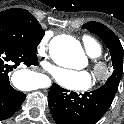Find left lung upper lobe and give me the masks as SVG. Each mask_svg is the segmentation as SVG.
<instances>
[{"label": "left lung upper lobe", "mask_w": 124, "mask_h": 124, "mask_svg": "<svg viewBox=\"0 0 124 124\" xmlns=\"http://www.w3.org/2000/svg\"><path fill=\"white\" fill-rule=\"evenodd\" d=\"M84 29L95 33L108 47L113 63V73L104 85L117 91L123 74V47L117 36L105 25L99 22H88L83 25Z\"/></svg>", "instance_id": "1"}]
</instances>
